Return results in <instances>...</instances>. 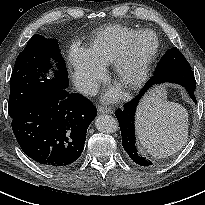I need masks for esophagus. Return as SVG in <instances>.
<instances>
[{
  "label": "esophagus",
  "mask_w": 205,
  "mask_h": 205,
  "mask_svg": "<svg viewBox=\"0 0 205 205\" xmlns=\"http://www.w3.org/2000/svg\"><path fill=\"white\" fill-rule=\"evenodd\" d=\"M98 113H103V114H112L113 110L111 108H107V107H103V106H99L98 107Z\"/></svg>",
  "instance_id": "1"
}]
</instances>
